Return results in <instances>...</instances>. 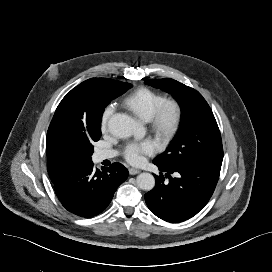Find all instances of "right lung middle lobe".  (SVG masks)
<instances>
[{"instance_id":"dd1d6c3e","label":"right lung middle lobe","mask_w":272,"mask_h":272,"mask_svg":"<svg viewBox=\"0 0 272 272\" xmlns=\"http://www.w3.org/2000/svg\"><path fill=\"white\" fill-rule=\"evenodd\" d=\"M131 87L132 85L129 83L115 81L113 87L107 92L104 98L103 110L112 99L120 96ZM100 136L101 130L100 124H98L96 127L89 130L88 132H85L76 139L78 149L83 156L85 162L91 161V155L94 151L93 142L98 141L100 139Z\"/></svg>"}]
</instances>
